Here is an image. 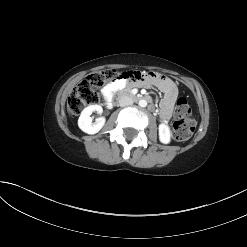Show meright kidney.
Here are the masks:
<instances>
[{
    "label": "right kidney",
    "mask_w": 247,
    "mask_h": 247,
    "mask_svg": "<svg viewBox=\"0 0 247 247\" xmlns=\"http://www.w3.org/2000/svg\"><path fill=\"white\" fill-rule=\"evenodd\" d=\"M96 111L97 113H102L103 109L100 105H90L86 107L82 112L81 115L78 119V126L79 128L87 133V134H96L98 133L101 128L105 124V118L104 117H99L96 119L95 123H92V118L90 115Z\"/></svg>",
    "instance_id": "1"
}]
</instances>
